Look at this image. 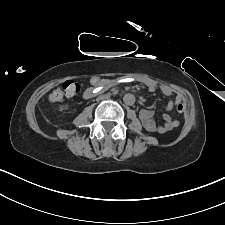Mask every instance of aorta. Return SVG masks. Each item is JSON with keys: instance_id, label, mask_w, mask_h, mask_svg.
<instances>
[{"instance_id": "obj_1", "label": "aorta", "mask_w": 225, "mask_h": 225, "mask_svg": "<svg viewBox=\"0 0 225 225\" xmlns=\"http://www.w3.org/2000/svg\"><path fill=\"white\" fill-rule=\"evenodd\" d=\"M123 101L126 105H133L135 102V97L132 94H126L123 97Z\"/></svg>"}]
</instances>
